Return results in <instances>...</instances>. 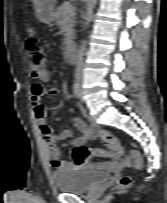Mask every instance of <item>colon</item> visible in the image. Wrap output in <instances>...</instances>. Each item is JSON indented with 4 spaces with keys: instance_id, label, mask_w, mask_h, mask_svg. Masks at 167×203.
<instances>
[{
    "instance_id": "colon-1",
    "label": "colon",
    "mask_w": 167,
    "mask_h": 203,
    "mask_svg": "<svg viewBox=\"0 0 167 203\" xmlns=\"http://www.w3.org/2000/svg\"><path fill=\"white\" fill-rule=\"evenodd\" d=\"M26 52L31 72L37 74L43 71L47 65L48 58L46 51L40 45L39 41L35 37L32 29L28 32L26 39ZM94 154H104V151L97 149H89L85 146H77L72 151V158L76 166H80L87 158ZM113 156L125 166H134L140 168L142 165V157L138 151H131L129 154H124L121 151H115ZM132 179L130 176H122L118 181L115 189H125L131 185Z\"/></svg>"
}]
</instances>
